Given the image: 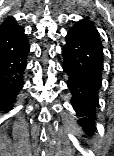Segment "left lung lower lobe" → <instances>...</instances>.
I'll use <instances>...</instances> for the list:
<instances>
[{"label": "left lung lower lobe", "mask_w": 114, "mask_h": 156, "mask_svg": "<svg viewBox=\"0 0 114 156\" xmlns=\"http://www.w3.org/2000/svg\"><path fill=\"white\" fill-rule=\"evenodd\" d=\"M64 71L68 74L71 102L84 131L94 133L97 91L101 86L103 48L100 35L87 19L75 23L62 48Z\"/></svg>", "instance_id": "obj_1"}]
</instances>
